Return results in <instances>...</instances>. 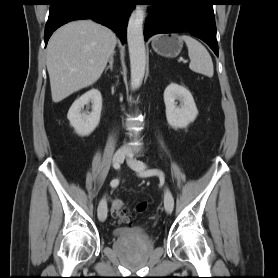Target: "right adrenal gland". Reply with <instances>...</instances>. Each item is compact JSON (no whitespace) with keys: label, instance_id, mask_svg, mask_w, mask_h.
I'll list each match as a JSON object with an SVG mask.
<instances>
[{"label":"right adrenal gland","instance_id":"obj_1","mask_svg":"<svg viewBox=\"0 0 278 278\" xmlns=\"http://www.w3.org/2000/svg\"><path fill=\"white\" fill-rule=\"evenodd\" d=\"M114 55H115V51L110 56L109 65L105 68V71H107L108 69H110L111 71L113 70Z\"/></svg>","mask_w":278,"mask_h":278}]
</instances>
